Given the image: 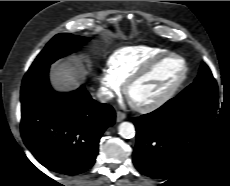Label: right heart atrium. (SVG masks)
Masks as SVG:
<instances>
[{
	"mask_svg": "<svg viewBox=\"0 0 230 186\" xmlns=\"http://www.w3.org/2000/svg\"><path fill=\"white\" fill-rule=\"evenodd\" d=\"M100 89L104 98H111L120 93L122 83L109 70H102L100 74Z\"/></svg>",
	"mask_w": 230,
	"mask_h": 186,
	"instance_id": "1",
	"label": "right heart atrium"
}]
</instances>
